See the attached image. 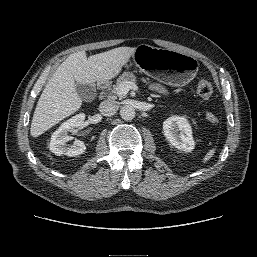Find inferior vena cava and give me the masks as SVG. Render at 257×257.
Wrapping results in <instances>:
<instances>
[{"instance_id":"1","label":"inferior vena cava","mask_w":257,"mask_h":257,"mask_svg":"<svg viewBox=\"0 0 257 257\" xmlns=\"http://www.w3.org/2000/svg\"><path fill=\"white\" fill-rule=\"evenodd\" d=\"M118 103L112 100H105L99 106V111L104 116H111L118 110Z\"/></svg>"}]
</instances>
